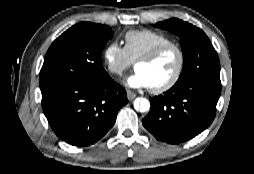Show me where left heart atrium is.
<instances>
[{
  "label": "left heart atrium",
  "mask_w": 254,
  "mask_h": 174,
  "mask_svg": "<svg viewBox=\"0 0 254 174\" xmlns=\"http://www.w3.org/2000/svg\"><path fill=\"white\" fill-rule=\"evenodd\" d=\"M125 84L134 89L151 88L149 78L140 70H136L134 73L126 77Z\"/></svg>",
  "instance_id": "39dd6f15"
}]
</instances>
